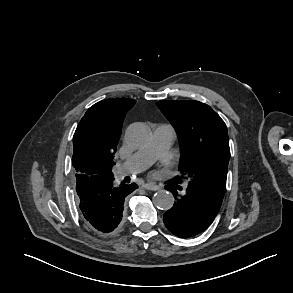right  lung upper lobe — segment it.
<instances>
[{
    "label": "right lung upper lobe",
    "mask_w": 293,
    "mask_h": 293,
    "mask_svg": "<svg viewBox=\"0 0 293 293\" xmlns=\"http://www.w3.org/2000/svg\"><path fill=\"white\" fill-rule=\"evenodd\" d=\"M136 103L133 99L113 98L94 104L87 110L73 136L72 164L76 174L93 175L110 171L119 140L123 118Z\"/></svg>",
    "instance_id": "obj_1"
}]
</instances>
